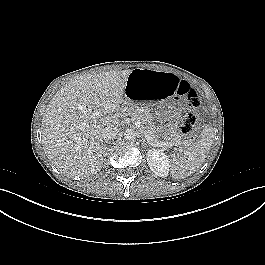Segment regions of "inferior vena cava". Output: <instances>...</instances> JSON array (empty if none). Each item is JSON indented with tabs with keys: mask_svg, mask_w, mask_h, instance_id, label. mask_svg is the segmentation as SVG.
I'll use <instances>...</instances> for the list:
<instances>
[{
	"mask_svg": "<svg viewBox=\"0 0 265 265\" xmlns=\"http://www.w3.org/2000/svg\"><path fill=\"white\" fill-rule=\"evenodd\" d=\"M118 132H119V129L116 126L110 125L102 129L101 137L104 140H110V139L115 138Z\"/></svg>",
	"mask_w": 265,
	"mask_h": 265,
	"instance_id": "1",
	"label": "inferior vena cava"
}]
</instances>
